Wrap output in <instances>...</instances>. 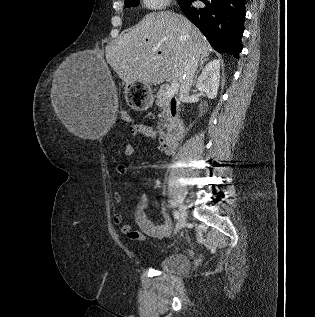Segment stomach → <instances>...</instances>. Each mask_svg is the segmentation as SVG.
I'll return each mask as SVG.
<instances>
[{
    "mask_svg": "<svg viewBox=\"0 0 315 317\" xmlns=\"http://www.w3.org/2000/svg\"><path fill=\"white\" fill-rule=\"evenodd\" d=\"M126 89L125 97L130 98L131 108L146 110L153 108V104L157 103V98L153 96L150 84H141L136 81L127 84Z\"/></svg>",
    "mask_w": 315,
    "mask_h": 317,
    "instance_id": "1",
    "label": "stomach"
}]
</instances>
